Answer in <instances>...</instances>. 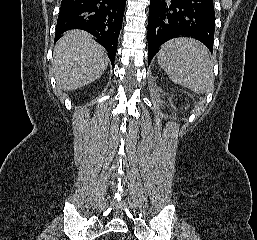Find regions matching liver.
Listing matches in <instances>:
<instances>
[{
  "instance_id": "6515ba94",
  "label": "liver",
  "mask_w": 257,
  "mask_h": 240,
  "mask_svg": "<svg viewBox=\"0 0 257 240\" xmlns=\"http://www.w3.org/2000/svg\"><path fill=\"white\" fill-rule=\"evenodd\" d=\"M106 51L84 31L65 33L56 43L52 70L57 85L75 90L98 79L108 66Z\"/></svg>"
}]
</instances>
